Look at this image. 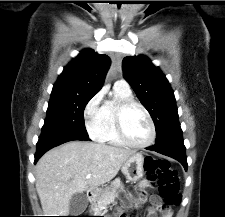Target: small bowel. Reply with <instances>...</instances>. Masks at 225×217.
Wrapping results in <instances>:
<instances>
[{"instance_id": "1", "label": "small bowel", "mask_w": 225, "mask_h": 217, "mask_svg": "<svg viewBox=\"0 0 225 217\" xmlns=\"http://www.w3.org/2000/svg\"><path fill=\"white\" fill-rule=\"evenodd\" d=\"M149 186V182L147 180H143L139 183V187L140 188H146ZM145 201L144 198H137L136 199V205L139 206L140 204H142ZM151 207L149 209V217H156V213L155 210L157 208H160L162 210V217H172V211L170 208H166L164 206L160 205L159 199L157 197H153L151 199ZM123 217V216H121Z\"/></svg>"}]
</instances>
